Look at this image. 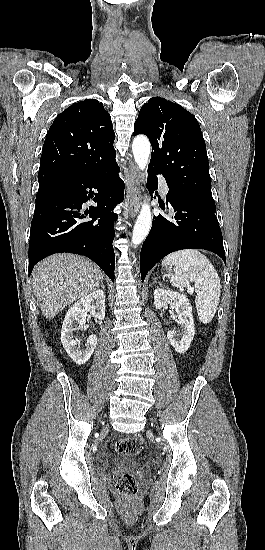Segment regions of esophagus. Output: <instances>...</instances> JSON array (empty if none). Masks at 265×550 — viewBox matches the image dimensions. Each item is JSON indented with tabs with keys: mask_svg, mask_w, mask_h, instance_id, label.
I'll use <instances>...</instances> for the list:
<instances>
[{
	"mask_svg": "<svg viewBox=\"0 0 265 550\" xmlns=\"http://www.w3.org/2000/svg\"><path fill=\"white\" fill-rule=\"evenodd\" d=\"M129 190L127 195L128 212L135 217L140 208L139 180L136 165L131 162L129 165Z\"/></svg>",
	"mask_w": 265,
	"mask_h": 550,
	"instance_id": "obj_1",
	"label": "esophagus"
}]
</instances>
